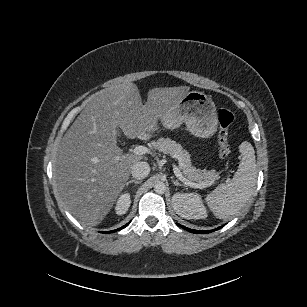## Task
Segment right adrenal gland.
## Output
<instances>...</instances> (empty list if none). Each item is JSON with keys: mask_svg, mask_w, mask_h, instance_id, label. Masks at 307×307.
Returning a JSON list of instances; mask_svg holds the SVG:
<instances>
[{"mask_svg": "<svg viewBox=\"0 0 307 307\" xmlns=\"http://www.w3.org/2000/svg\"><path fill=\"white\" fill-rule=\"evenodd\" d=\"M131 183L140 184V183H142V180H139V181H137V180H130V181L126 182V186H128Z\"/></svg>", "mask_w": 307, "mask_h": 307, "instance_id": "1", "label": "right adrenal gland"}]
</instances>
